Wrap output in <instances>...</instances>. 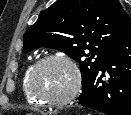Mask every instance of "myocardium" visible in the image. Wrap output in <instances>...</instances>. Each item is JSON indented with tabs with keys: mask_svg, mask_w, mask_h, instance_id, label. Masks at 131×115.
<instances>
[{
	"mask_svg": "<svg viewBox=\"0 0 131 115\" xmlns=\"http://www.w3.org/2000/svg\"><path fill=\"white\" fill-rule=\"evenodd\" d=\"M53 60L63 61L71 68L73 72V84L71 89L64 96L57 99L49 98L48 96L40 93L35 87V78L38 70L45 63ZM81 85L82 75L79 66L71 57L61 53L49 54L39 59L31 69L28 79V87L31 94L35 98H37L42 104L52 107H61L73 100L80 91Z\"/></svg>",
	"mask_w": 131,
	"mask_h": 115,
	"instance_id": "1",
	"label": "myocardium"
}]
</instances>
